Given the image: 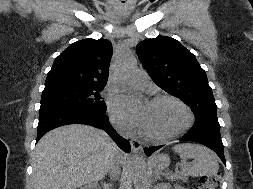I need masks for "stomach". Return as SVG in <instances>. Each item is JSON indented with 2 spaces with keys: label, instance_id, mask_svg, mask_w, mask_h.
<instances>
[{
  "label": "stomach",
  "instance_id": "1",
  "mask_svg": "<svg viewBox=\"0 0 253 189\" xmlns=\"http://www.w3.org/2000/svg\"><path fill=\"white\" fill-rule=\"evenodd\" d=\"M153 166L156 170H164L170 164V158L167 154H158L152 159Z\"/></svg>",
  "mask_w": 253,
  "mask_h": 189
}]
</instances>
